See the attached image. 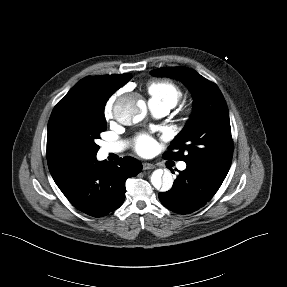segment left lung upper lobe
I'll return each instance as SVG.
<instances>
[{
	"mask_svg": "<svg viewBox=\"0 0 287 287\" xmlns=\"http://www.w3.org/2000/svg\"><path fill=\"white\" fill-rule=\"evenodd\" d=\"M150 73L183 81L194 97L190 119L163 157L205 167L225 178L231 165L233 141L228 107L217 85L186 67H163Z\"/></svg>",
	"mask_w": 287,
	"mask_h": 287,
	"instance_id": "obj_1",
	"label": "left lung upper lobe"
}]
</instances>
